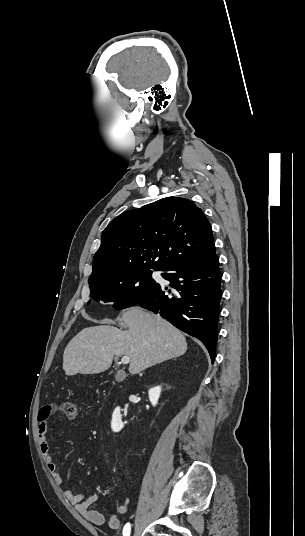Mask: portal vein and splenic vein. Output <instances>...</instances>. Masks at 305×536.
I'll list each match as a JSON object with an SVG mask.
<instances>
[{
  "label": "portal vein and splenic vein",
  "instance_id": "obj_1",
  "mask_svg": "<svg viewBox=\"0 0 305 536\" xmlns=\"http://www.w3.org/2000/svg\"><path fill=\"white\" fill-rule=\"evenodd\" d=\"M129 362H130V358H128V356H123L121 360V364H129Z\"/></svg>",
  "mask_w": 305,
  "mask_h": 536
}]
</instances>
